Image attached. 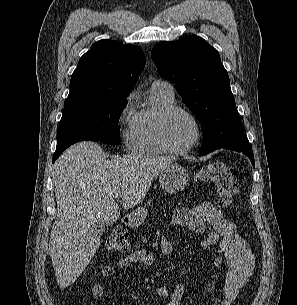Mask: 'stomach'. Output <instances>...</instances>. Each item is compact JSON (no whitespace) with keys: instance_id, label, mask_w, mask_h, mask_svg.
<instances>
[{"instance_id":"1","label":"stomach","mask_w":297,"mask_h":305,"mask_svg":"<svg viewBox=\"0 0 297 305\" xmlns=\"http://www.w3.org/2000/svg\"><path fill=\"white\" fill-rule=\"evenodd\" d=\"M189 180L187 170L177 164H170L166 169L162 170L159 175L161 187L167 193H176L181 191ZM147 215L146 208H139L132 214V223H141Z\"/></svg>"}]
</instances>
